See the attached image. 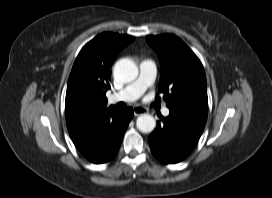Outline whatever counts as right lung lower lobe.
<instances>
[{
	"label": "right lung lower lobe",
	"instance_id": "right-lung-lower-lobe-1",
	"mask_svg": "<svg viewBox=\"0 0 272 198\" xmlns=\"http://www.w3.org/2000/svg\"><path fill=\"white\" fill-rule=\"evenodd\" d=\"M132 117L131 107L118 109L111 106L70 136L87 160L97 164L105 163L116 156Z\"/></svg>",
	"mask_w": 272,
	"mask_h": 198
}]
</instances>
